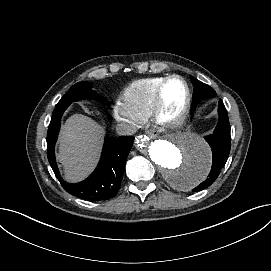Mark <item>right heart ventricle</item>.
<instances>
[{"instance_id": "e07e8e85", "label": "right heart ventricle", "mask_w": 271, "mask_h": 271, "mask_svg": "<svg viewBox=\"0 0 271 271\" xmlns=\"http://www.w3.org/2000/svg\"><path fill=\"white\" fill-rule=\"evenodd\" d=\"M167 76H149L129 83L121 93V101L129 114L138 122L153 115L155 94Z\"/></svg>"}]
</instances>
